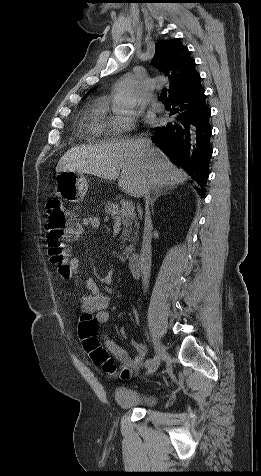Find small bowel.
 I'll use <instances>...</instances> for the list:
<instances>
[{"instance_id": "small-bowel-1", "label": "small bowel", "mask_w": 261, "mask_h": 476, "mask_svg": "<svg viewBox=\"0 0 261 476\" xmlns=\"http://www.w3.org/2000/svg\"><path fill=\"white\" fill-rule=\"evenodd\" d=\"M100 225L101 220L99 217H84L77 225L73 237H80L84 233L86 228L98 229ZM68 266L70 269V276H73L74 281L77 284V274L80 267L79 257L76 255H71L68 262ZM84 287L88 290L89 293L87 295L80 296L82 313L92 315L97 327L106 324L109 320L108 308L111 304V298L107 294L102 292L97 283L92 279L85 280ZM119 333L123 338L127 337V331L125 328H121L119 330ZM103 343L104 348L107 350V352H109L111 355L121 361V371L128 370L131 373H134L143 366L146 355V348L144 344L132 340L131 345L135 349V354L133 356H130L123 347L118 345L107 335H103ZM103 370L110 377H115L118 373L117 369L108 371L103 368Z\"/></svg>"}]
</instances>
